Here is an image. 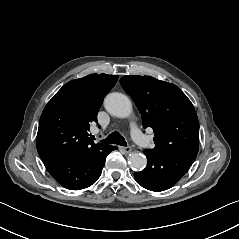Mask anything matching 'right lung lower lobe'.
<instances>
[{"instance_id":"right-lung-lower-lobe-1","label":"right lung lower lobe","mask_w":239,"mask_h":239,"mask_svg":"<svg viewBox=\"0 0 239 239\" xmlns=\"http://www.w3.org/2000/svg\"><path fill=\"white\" fill-rule=\"evenodd\" d=\"M117 147L103 144L87 151L43 159L53 178L63 187L80 190L91 186L101 175L106 156Z\"/></svg>"}]
</instances>
